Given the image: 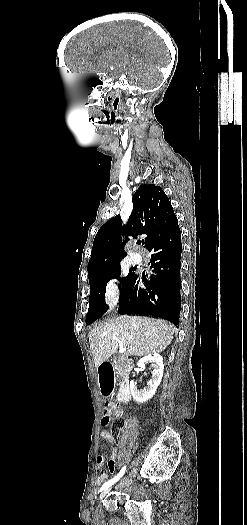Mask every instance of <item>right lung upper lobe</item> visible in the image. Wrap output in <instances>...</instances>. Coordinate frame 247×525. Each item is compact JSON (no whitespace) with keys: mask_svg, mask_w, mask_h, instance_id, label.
Returning <instances> with one entry per match:
<instances>
[{"mask_svg":"<svg viewBox=\"0 0 247 525\" xmlns=\"http://www.w3.org/2000/svg\"><path fill=\"white\" fill-rule=\"evenodd\" d=\"M132 202L134 209L124 228L121 218L116 216L97 232L88 263V275L120 268V263L126 256L124 245L129 241V236L137 238L138 235H146L147 247L154 239L178 225L172 205L161 187L141 185L133 195ZM122 229L125 234L124 242H121Z\"/></svg>","mask_w":247,"mask_h":525,"instance_id":"right-lung-upper-lobe-1","label":"right lung upper lobe"}]
</instances>
